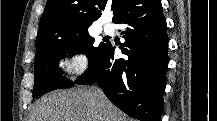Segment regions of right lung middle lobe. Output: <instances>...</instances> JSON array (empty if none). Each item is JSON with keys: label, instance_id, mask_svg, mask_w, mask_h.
Masks as SVG:
<instances>
[{"label": "right lung middle lobe", "instance_id": "right-lung-middle-lobe-1", "mask_svg": "<svg viewBox=\"0 0 217 121\" xmlns=\"http://www.w3.org/2000/svg\"><path fill=\"white\" fill-rule=\"evenodd\" d=\"M94 41V38L88 34L87 27L62 39L36 46L33 97L54 89L69 88L75 84L59 73L58 61L62 57H66L67 54L70 57L77 53H83L89 58V68L78 80L89 72L107 45V42L95 44Z\"/></svg>", "mask_w": 217, "mask_h": 121}]
</instances>
